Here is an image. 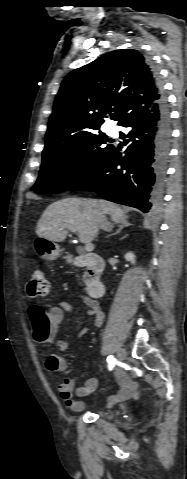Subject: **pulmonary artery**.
Returning <instances> with one entry per match:
<instances>
[{
    "label": "pulmonary artery",
    "mask_w": 187,
    "mask_h": 479,
    "mask_svg": "<svg viewBox=\"0 0 187 479\" xmlns=\"http://www.w3.org/2000/svg\"><path fill=\"white\" fill-rule=\"evenodd\" d=\"M110 134L114 135L115 134V131L113 129H110L109 130Z\"/></svg>",
    "instance_id": "obj_1"
}]
</instances>
